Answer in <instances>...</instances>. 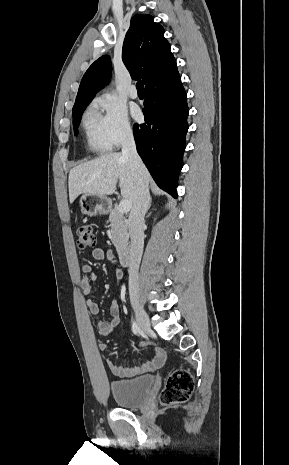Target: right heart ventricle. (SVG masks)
Masks as SVG:
<instances>
[{
	"instance_id": "right-heart-ventricle-1",
	"label": "right heart ventricle",
	"mask_w": 289,
	"mask_h": 465,
	"mask_svg": "<svg viewBox=\"0 0 289 465\" xmlns=\"http://www.w3.org/2000/svg\"><path fill=\"white\" fill-rule=\"evenodd\" d=\"M82 128L84 131L87 148L94 153H105L111 149V145L105 135L103 116L98 110L96 103L91 105L82 117Z\"/></svg>"
}]
</instances>
